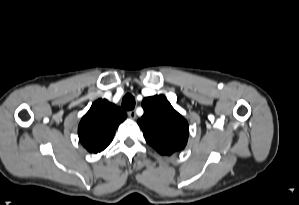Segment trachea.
Instances as JSON below:
<instances>
[{"label": "trachea", "mask_w": 299, "mask_h": 205, "mask_svg": "<svg viewBox=\"0 0 299 205\" xmlns=\"http://www.w3.org/2000/svg\"><path fill=\"white\" fill-rule=\"evenodd\" d=\"M122 107L124 110H132L135 107V98L131 94H126L122 100Z\"/></svg>", "instance_id": "3493384b"}]
</instances>
